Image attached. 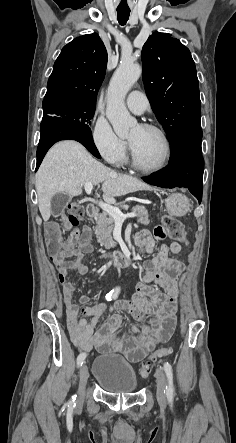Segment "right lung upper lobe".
<instances>
[{"label":"right lung upper lobe","instance_id":"1","mask_svg":"<svg viewBox=\"0 0 236 443\" xmlns=\"http://www.w3.org/2000/svg\"><path fill=\"white\" fill-rule=\"evenodd\" d=\"M106 66L107 51L97 33L75 38L54 63L44 101L72 97L95 104Z\"/></svg>","mask_w":236,"mask_h":443}]
</instances>
